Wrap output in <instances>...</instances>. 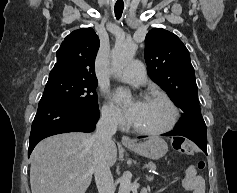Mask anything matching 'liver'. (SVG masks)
Listing matches in <instances>:
<instances>
[{"instance_id": "obj_1", "label": "liver", "mask_w": 237, "mask_h": 193, "mask_svg": "<svg viewBox=\"0 0 237 193\" xmlns=\"http://www.w3.org/2000/svg\"><path fill=\"white\" fill-rule=\"evenodd\" d=\"M117 160L112 141L109 166ZM94 163L91 134L71 132L42 140L31 155L30 184L32 193H85L89 187Z\"/></svg>"}]
</instances>
